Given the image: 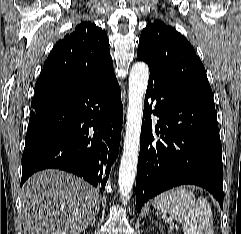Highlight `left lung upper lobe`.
<instances>
[{"label": "left lung upper lobe", "instance_id": "5c2ea615", "mask_svg": "<svg viewBox=\"0 0 241 234\" xmlns=\"http://www.w3.org/2000/svg\"><path fill=\"white\" fill-rule=\"evenodd\" d=\"M137 56L163 77L212 96L205 68L194 48L164 22L156 20L143 29Z\"/></svg>", "mask_w": 241, "mask_h": 234}]
</instances>
